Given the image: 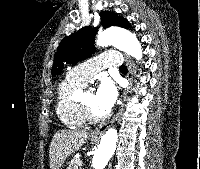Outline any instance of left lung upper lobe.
<instances>
[{
    "instance_id": "1",
    "label": "left lung upper lobe",
    "mask_w": 200,
    "mask_h": 169,
    "mask_svg": "<svg viewBox=\"0 0 200 169\" xmlns=\"http://www.w3.org/2000/svg\"><path fill=\"white\" fill-rule=\"evenodd\" d=\"M101 23L104 28L119 26L130 28L127 19L115 13L103 11L100 13ZM98 28L86 26L78 32L62 39L54 55V63L51 73L56 76L61 73L64 62L68 64L79 62L92 55L94 50L95 35Z\"/></svg>"
}]
</instances>
